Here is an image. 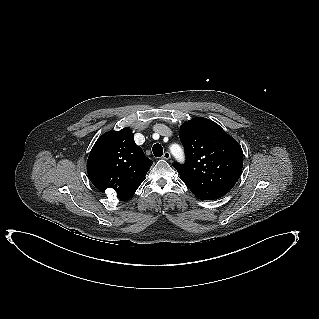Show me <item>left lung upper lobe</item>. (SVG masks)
<instances>
[{
    "label": "left lung upper lobe",
    "mask_w": 319,
    "mask_h": 319,
    "mask_svg": "<svg viewBox=\"0 0 319 319\" xmlns=\"http://www.w3.org/2000/svg\"><path fill=\"white\" fill-rule=\"evenodd\" d=\"M186 162L174 168L191 192L202 200L227 194L238 181L243 166L241 146L217 123L202 117L180 127Z\"/></svg>",
    "instance_id": "left-lung-upper-lobe-1"
}]
</instances>
